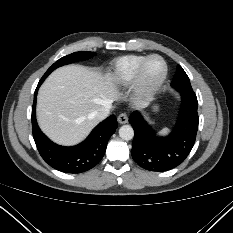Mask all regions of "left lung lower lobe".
Listing matches in <instances>:
<instances>
[{
	"label": "left lung lower lobe",
	"mask_w": 233,
	"mask_h": 233,
	"mask_svg": "<svg viewBox=\"0 0 233 233\" xmlns=\"http://www.w3.org/2000/svg\"><path fill=\"white\" fill-rule=\"evenodd\" d=\"M182 104L172 132L158 137L135 111L129 117L135 135L131 155L134 161L149 171H166L180 165L190 153L198 130V101L193 92H180Z\"/></svg>",
	"instance_id": "left-lung-lower-lobe-1"
}]
</instances>
